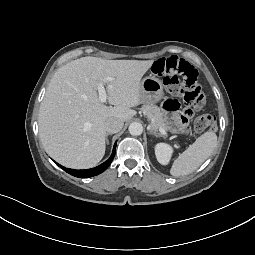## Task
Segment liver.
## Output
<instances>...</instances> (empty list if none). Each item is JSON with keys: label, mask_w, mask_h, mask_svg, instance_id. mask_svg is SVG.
<instances>
[{"label": "liver", "mask_w": 255, "mask_h": 255, "mask_svg": "<svg viewBox=\"0 0 255 255\" xmlns=\"http://www.w3.org/2000/svg\"><path fill=\"white\" fill-rule=\"evenodd\" d=\"M154 60H106L82 57L60 67L52 77L39 111V136L46 152L74 169L97 165L105 154V122L136 115L141 79ZM111 77V81L107 78ZM104 82L106 106L97 84Z\"/></svg>", "instance_id": "obj_1"}]
</instances>
